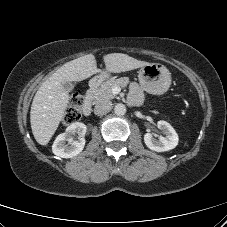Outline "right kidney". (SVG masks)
I'll return each instance as SVG.
<instances>
[{"mask_svg": "<svg viewBox=\"0 0 227 227\" xmlns=\"http://www.w3.org/2000/svg\"><path fill=\"white\" fill-rule=\"evenodd\" d=\"M86 125L76 122L68 126L64 133L59 134L52 145V152L61 158H72L82 152L85 146L84 136ZM78 134V140H73V135ZM66 141L68 143L66 144Z\"/></svg>", "mask_w": 227, "mask_h": 227, "instance_id": "right-kidney-1", "label": "right kidney"}]
</instances>
